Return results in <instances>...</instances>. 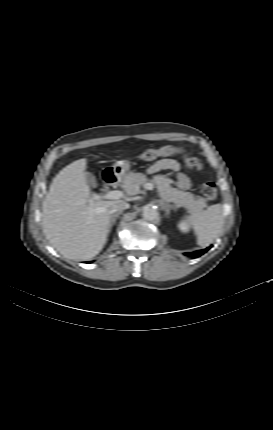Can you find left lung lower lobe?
Instances as JSON below:
<instances>
[{"mask_svg":"<svg viewBox=\"0 0 273 430\" xmlns=\"http://www.w3.org/2000/svg\"><path fill=\"white\" fill-rule=\"evenodd\" d=\"M208 249H209V247L206 249H203V250L195 251L192 254L194 255L195 258H197V257L201 256L202 254H204L205 252H207ZM185 255H189V253H185Z\"/></svg>","mask_w":273,"mask_h":430,"instance_id":"1","label":"left lung lower lobe"}]
</instances>
